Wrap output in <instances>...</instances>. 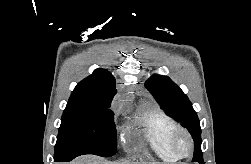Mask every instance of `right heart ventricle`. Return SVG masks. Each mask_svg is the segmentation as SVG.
<instances>
[{"label": "right heart ventricle", "instance_id": "obj_1", "mask_svg": "<svg viewBox=\"0 0 251 164\" xmlns=\"http://www.w3.org/2000/svg\"><path fill=\"white\" fill-rule=\"evenodd\" d=\"M143 136L154 154L165 162H175L169 150V138L177 128L175 120L159 107L143 108L137 115Z\"/></svg>", "mask_w": 251, "mask_h": 164}]
</instances>
